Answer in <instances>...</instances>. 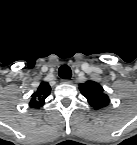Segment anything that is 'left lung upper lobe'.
<instances>
[{"label":"left lung upper lobe","mask_w":137,"mask_h":145,"mask_svg":"<svg viewBox=\"0 0 137 145\" xmlns=\"http://www.w3.org/2000/svg\"><path fill=\"white\" fill-rule=\"evenodd\" d=\"M79 89L94 109L97 110L109 104V97L99 83L89 80L80 84Z\"/></svg>","instance_id":"left-lung-upper-lobe-1"}]
</instances>
